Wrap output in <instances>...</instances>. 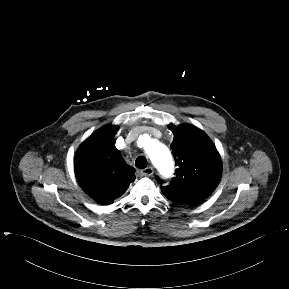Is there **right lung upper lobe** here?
<instances>
[{"mask_svg": "<svg viewBox=\"0 0 289 289\" xmlns=\"http://www.w3.org/2000/svg\"><path fill=\"white\" fill-rule=\"evenodd\" d=\"M118 128L110 125L97 130L80 146L74 161L79 184L103 205L112 204L135 180V169L126 164L115 147Z\"/></svg>", "mask_w": 289, "mask_h": 289, "instance_id": "cb5924a9", "label": "right lung upper lobe"}]
</instances>
